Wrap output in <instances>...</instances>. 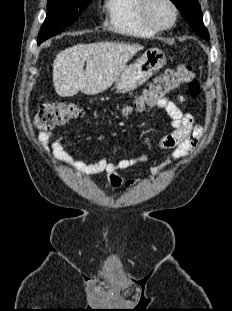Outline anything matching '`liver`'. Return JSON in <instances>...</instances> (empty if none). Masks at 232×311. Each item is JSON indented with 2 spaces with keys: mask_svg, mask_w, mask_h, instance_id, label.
Returning a JSON list of instances; mask_svg holds the SVG:
<instances>
[{
  "mask_svg": "<svg viewBox=\"0 0 232 311\" xmlns=\"http://www.w3.org/2000/svg\"><path fill=\"white\" fill-rule=\"evenodd\" d=\"M143 47L140 45L100 42L78 44L61 51L53 63V85L61 97L96 95L107 90ZM86 69L84 71V64Z\"/></svg>",
  "mask_w": 232,
  "mask_h": 311,
  "instance_id": "obj_1",
  "label": "liver"
}]
</instances>
